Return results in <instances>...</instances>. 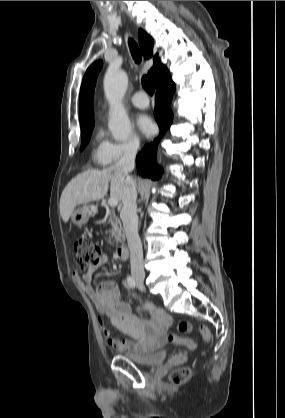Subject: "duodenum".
<instances>
[{
    "instance_id": "410a0bca",
    "label": "duodenum",
    "mask_w": 285,
    "mask_h": 418,
    "mask_svg": "<svg viewBox=\"0 0 285 418\" xmlns=\"http://www.w3.org/2000/svg\"><path fill=\"white\" fill-rule=\"evenodd\" d=\"M129 247L128 246H120L117 248V257L120 260H127L129 258Z\"/></svg>"
}]
</instances>
